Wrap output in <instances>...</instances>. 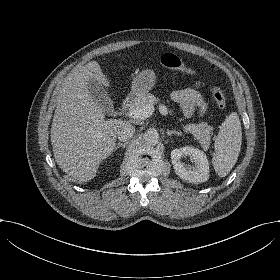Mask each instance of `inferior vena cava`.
Masks as SVG:
<instances>
[{
	"label": "inferior vena cava",
	"mask_w": 280,
	"mask_h": 280,
	"mask_svg": "<svg viewBox=\"0 0 280 280\" xmlns=\"http://www.w3.org/2000/svg\"><path fill=\"white\" fill-rule=\"evenodd\" d=\"M135 133V128L131 124H123L119 127L117 135L118 139L121 141H127L129 138H131Z\"/></svg>",
	"instance_id": "1"
}]
</instances>
